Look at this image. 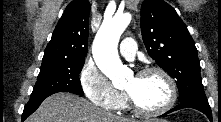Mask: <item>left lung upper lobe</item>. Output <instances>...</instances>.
Segmentation results:
<instances>
[{"mask_svg": "<svg viewBox=\"0 0 221 122\" xmlns=\"http://www.w3.org/2000/svg\"><path fill=\"white\" fill-rule=\"evenodd\" d=\"M141 31L151 58L176 80L179 101L206 98L194 40L175 9L162 0H145Z\"/></svg>", "mask_w": 221, "mask_h": 122, "instance_id": "1", "label": "left lung upper lobe"}]
</instances>
